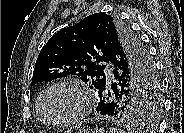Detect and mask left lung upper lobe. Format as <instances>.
Masks as SVG:
<instances>
[{
	"instance_id": "5c2ea615",
	"label": "left lung upper lobe",
	"mask_w": 184,
	"mask_h": 133,
	"mask_svg": "<svg viewBox=\"0 0 184 133\" xmlns=\"http://www.w3.org/2000/svg\"><path fill=\"white\" fill-rule=\"evenodd\" d=\"M109 62L125 72L127 81L116 117L133 124L155 119L161 97L154 63L117 16L95 13L59 30L40 51L31 84L76 75L98 93L106 86Z\"/></svg>"
}]
</instances>
